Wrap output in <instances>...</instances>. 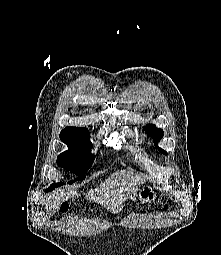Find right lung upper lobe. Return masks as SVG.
I'll return each mask as SVG.
<instances>
[{
	"label": "right lung upper lobe",
	"mask_w": 221,
	"mask_h": 255,
	"mask_svg": "<svg viewBox=\"0 0 221 255\" xmlns=\"http://www.w3.org/2000/svg\"><path fill=\"white\" fill-rule=\"evenodd\" d=\"M65 130H75V131H82V132L89 133L88 129H86V128L66 127Z\"/></svg>",
	"instance_id": "obj_1"
}]
</instances>
